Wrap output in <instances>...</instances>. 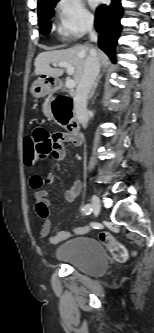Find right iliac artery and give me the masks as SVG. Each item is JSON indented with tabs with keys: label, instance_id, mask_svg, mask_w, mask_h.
I'll list each match as a JSON object with an SVG mask.
<instances>
[{
	"label": "right iliac artery",
	"instance_id": "right-iliac-artery-1",
	"mask_svg": "<svg viewBox=\"0 0 154 333\" xmlns=\"http://www.w3.org/2000/svg\"><path fill=\"white\" fill-rule=\"evenodd\" d=\"M82 212L86 215H89L92 212V206L91 204H86L82 207Z\"/></svg>",
	"mask_w": 154,
	"mask_h": 333
}]
</instances>
